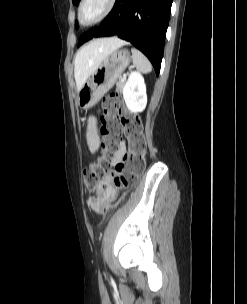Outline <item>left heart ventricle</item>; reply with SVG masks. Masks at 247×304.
<instances>
[{
	"instance_id": "1",
	"label": "left heart ventricle",
	"mask_w": 247,
	"mask_h": 304,
	"mask_svg": "<svg viewBox=\"0 0 247 304\" xmlns=\"http://www.w3.org/2000/svg\"><path fill=\"white\" fill-rule=\"evenodd\" d=\"M105 0H89V2L84 6L83 18L89 21L96 17L104 8Z\"/></svg>"
}]
</instances>
